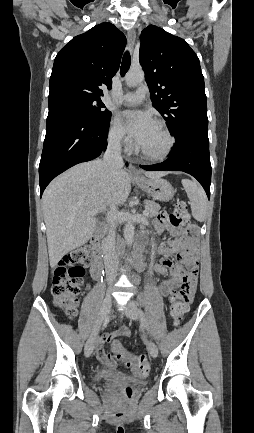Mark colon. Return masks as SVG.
Returning <instances> with one entry per match:
<instances>
[{
	"instance_id": "1",
	"label": "colon",
	"mask_w": 254,
	"mask_h": 433,
	"mask_svg": "<svg viewBox=\"0 0 254 433\" xmlns=\"http://www.w3.org/2000/svg\"><path fill=\"white\" fill-rule=\"evenodd\" d=\"M160 220L173 228L184 229L188 235L194 236L197 232V227L192 224L190 213L183 202L177 203L170 212L162 213ZM88 261V248L80 247L64 255L54 270L52 284L54 302L69 317L76 314L79 295L84 285V265ZM190 301L191 299L185 302L178 299L173 300L171 317L176 324L183 319ZM119 332L121 336L127 335L125 327L120 328ZM119 356L126 361L136 376L143 377L148 373L150 366L144 355L120 354Z\"/></svg>"
}]
</instances>
